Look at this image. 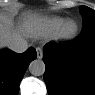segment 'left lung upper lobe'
I'll list each match as a JSON object with an SVG mask.
<instances>
[{"label":"left lung upper lobe","instance_id":"obj_1","mask_svg":"<svg viewBox=\"0 0 95 95\" xmlns=\"http://www.w3.org/2000/svg\"><path fill=\"white\" fill-rule=\"evenodd\" d=\"M80 12L82 14L83 19L82 32L95 30V11L87 6H80Z\"/></svg>","mask_w":95,"mask_h":95}]
</instances>
